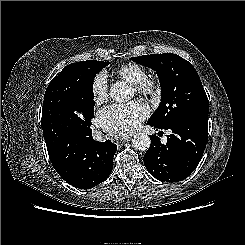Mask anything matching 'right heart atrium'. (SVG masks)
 <instances>
[{
	"instance_id": "1",
	"label": "right heart atrium",
	"mask_w": 245,
	"mask_h": 245,
	"mask_svg": "<svg viewBox=\"0 0 245 245\" xmlns=\"http://www.w3.org/2000/svg\"><path fill=\"white\" fill-rule=\"evenodd\" d=\"M91 93L95 105H101L108 100L109 83L105 73L99 72L94 76L91 82Z\"/></svg>"
}]
</instances>
